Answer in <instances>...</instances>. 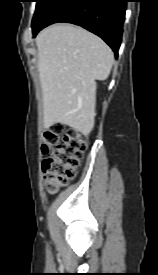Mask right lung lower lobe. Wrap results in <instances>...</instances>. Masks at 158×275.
<instances>
[{"label":"right lung lower lobe","mask_w":158,"mask_h":275,"mask_svg":"<svg viewBox=\"0 0 158 275\" xmlns=\"http://www.w3.org/2000/svg\"><path fill=\"white\" fill-rule=\"evenodd\" d=\"M126 0H56L44 16L32 26L33 34L57 23H73L101 37L118 56Z\"/></svg>","instance_id":"right-lung-lower-lobe-1"}]
</instances>
